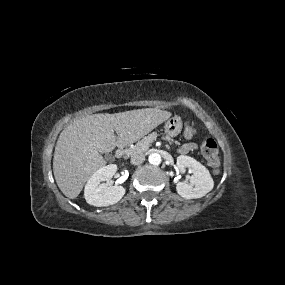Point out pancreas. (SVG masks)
Instances as JSON below:
<instances>
[{
	"mask_svg": "<svg viewBox=\"0 0 285 285\" xmlns=\"http://www.w3.org/2000/svg\"><path fill=\"white\" fill-rule=\"evenodd\" d=\"M157 136H158V134L156 132H152L148 136H146L143 139H141L140 141H138L133 147L129 148L127 150V154L130 156H134L137 154H143L144 152H146L148 150L150 143H152L157 138ZM162 139L166 140L170 144L175 143L176 145H179L178 141H174L169 136H163Z\"/></svg>",
	"mask_w": 285,
	"mask_h": 285,
	"instance_id": "cf45deb5",
	"label": "pancreas"
}]
</instances>
